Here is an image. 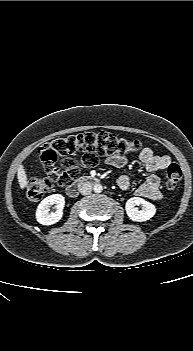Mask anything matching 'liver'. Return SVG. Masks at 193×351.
Returning a JSON list of instances; mask_svg holds the SVG:
<instances>
[{
	"instance_id": "1",
	"label": "liver",
	"mask_w": 193,
	"mask_h": 351,
	"mask_svg": "<svg viewBox=\"0 0 193 351\" xmlns=\"http://www.w3.org/2000/svg\"><path fill=\"white\" fill-rule=\"evenodd\" d=\"M17 178H18L20 188L24 189L27 186L28 181H27V174L25 172L23 165H20L18 168Z\"/></svg>"
}]
</instances>
